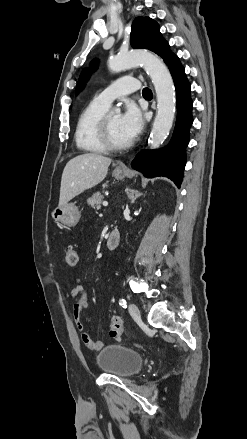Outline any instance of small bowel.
<instances>
[{
	"label": "small bowel",
	"instance_id": "1",
	"mask_svg": "<svg viewBox=\"0 0 247 439\" xmlns=\"http://www.w3.org/2000/svg\"><path fill=\"white\" fill-rule=\"evenodd\" d=\"M72 297L76 299L73 307V315L76 322V327L80 332V337L83 344L92 351H98L104 347L103 341H96L91 338V336L84 330V325L81 320L84 310L88 306L87 294L85 292L84 286L79 279L75 280L74 286L71 291Z\"/></svg>",
	"mask_w": 247,
	"mask_h": 439
}]
</instances>
